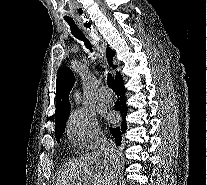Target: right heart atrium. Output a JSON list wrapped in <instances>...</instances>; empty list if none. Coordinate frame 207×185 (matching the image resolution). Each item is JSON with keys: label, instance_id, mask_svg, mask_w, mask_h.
<instances>
[{"label": "right heart atrium", "instance_id": "right-heart-atrium-1", "mask_svg": "<svg viewBox=\"0 0 207 185\" xmlns=\"http://www.w3.org/2000/svg\"><path fill=\"white\" fill-rule=\"evenodd\" d=\"M66 131L76 146L86 150L96 148L103 139L94 113L84 108L76 109L69 114Z\"/></svg>", "mask_w": 207, "mask_h": 185}]
</instances>
